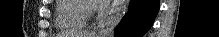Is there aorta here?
I'll return each mask as SVG.
<instances>
[{"label":"aorta","mask_w":219,"mask_h":37,"mask_svg":"<svg viewBox=\"0 0 219 37\" xmlns=\"http://www.w3.org/2000/svg\"><path fill=\"white\" fill-rule=\"evenodd\" d=\"M129 0H114L112 9L106 19L105 29L103 31L104 37H111L114 29L124 17L128 7Z\"/></svg>","instance_id":"aorta-1"}]
</instances>
